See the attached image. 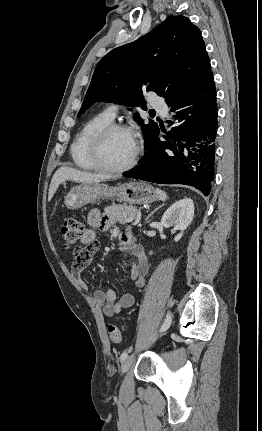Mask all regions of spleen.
<instances>
[{
    "mask_svg": "<svg viewBox=\"0 0 262 431\" xmlns=\"http://www.w3.org/2000/svg\"><path fill=\"white\" fill-rule=\"evenodd\" d=\"M156 194H157V197L162 201H165L168 198L167 194L163 190L156 189Z\"/></svg>",
    "mask_w": 262,
    "mask_h": 431,
    "instance_id": "3e777b00",
    "label": "spleen"
}]
</instances>
